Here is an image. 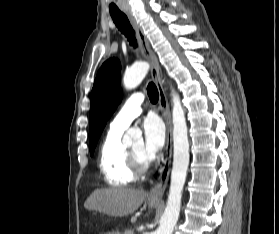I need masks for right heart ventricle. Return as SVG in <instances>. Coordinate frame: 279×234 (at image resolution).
<instances>
[{
    "mask_svg": "<svg viewBox=\"0 0 279 234\" xmlns=\"http://www.w3.org/2000/svg\"><path fill=\"white\" fill-rule=\"evenodd\" d=\"M122 132L110 129L99 151V166L104 181L115 187L128 185L136 178L129 163L128 148L121 141Z\"/></svg>",
    "mask_w": 279,
    "mask_h": 234,
    "instance_id": "right-heart-ventricle-1",
    "label": "right heart ventricle"
}]
</instances>
